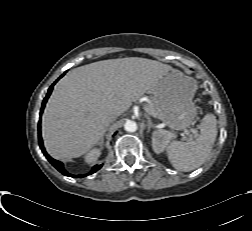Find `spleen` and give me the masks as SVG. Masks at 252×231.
<instances>
[{"mask_svg": "<svg viewBox=\"0 0 252 231\" xmlns=\"http://www.w3.org/2000/svg\"><path fill=\"white\" fill-rule=\"evenodd\" d=\"M217 136V120L207 114L200 125V134L194 141H173L167 147V155L172 166L179 171L198 168L209 156Z\"/></svg>", "mask_w": 252, "mask_h": 231, "instance_id": "3e777b00", "label": "spleen"}]
</instances>
